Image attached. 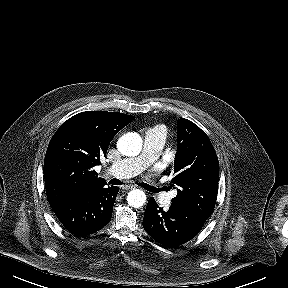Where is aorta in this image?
<instances>
[{
	"instance_id": "obj_1",
	"label": "aorta",
	"mask_w": 288,
	"mask_h": 288,
	"mask_svg": "<svg viewBox=\"0 0 288 288\" xmlns=\"http://www.w3.org/2000/svg\"><path fill=\"white\" fill-rule=\"evenodd\" d=\"M118 150L125 156H136L142 149V139L137 133L124 134L117 142ZM131 207L140 208L146 202V195L140 189H133L127 195Z\"/></svg>"
}]
</instances>
